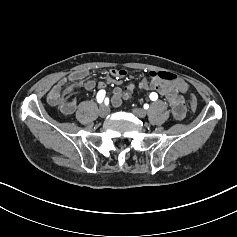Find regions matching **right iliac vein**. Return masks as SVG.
I'll use <instances>...</instances> for the list:
<instances>
[{
	"label": "right iliac vein",
	"mask_w": 237,
	"mask_h": 237,
	"mask_svg": "<svg viewBox=\"0 0 237 237\" xmlns=\"http://www.w3.org/2000/svg\"><path fill=\"white\" fill-rule=\"evenodd\" d=\"M108 113H109L108 108L105 105H102L99 111L100 117L105 118L108 115Z\"/></svg>",
	"instance_id": "right-iliac-vein-1"
}]
</instances>
